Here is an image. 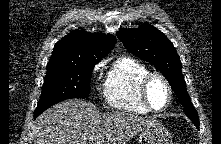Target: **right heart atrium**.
<instances>
[{
	"label": "right heart atrium",
	"instance_id": "d8ad5b80",
	"mask_svg": "<svg viewBox=\"0 0 221 144\" xmlns=\"http://www.w3.org/2000/svg\"><path fill=\"white\" fill-rule=\"evenodd\" d=\"M100 65H97L95 68V71H97L99 69Z\"/></svg>",
	"mask_w": 221,
	"mask_h": 144
}]
</instances>
